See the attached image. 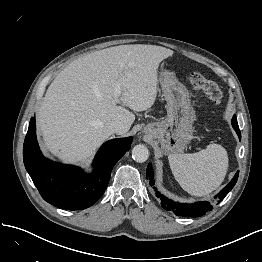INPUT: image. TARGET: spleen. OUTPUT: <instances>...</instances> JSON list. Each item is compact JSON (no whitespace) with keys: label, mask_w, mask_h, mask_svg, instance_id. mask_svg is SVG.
Here are the masks:
<instances>
[{"label":"spleen","mask_w":262,"mask_h":262,"mask_svg":"<svg viewBox=\"0 0 262 262\" xmlns=\"http://www.w3.org/2000/svg\"><path fill=\"white\" fill-rule=\"evenodd\" d=\"M171 171L180 186L191 195L203 196L217 189L228 170V155L218 144L196 153L170 154Z\"/></svg>","instance_id":"1"}]
</instances>
